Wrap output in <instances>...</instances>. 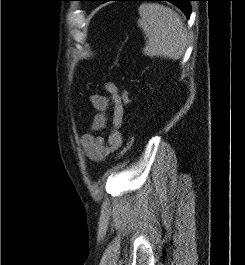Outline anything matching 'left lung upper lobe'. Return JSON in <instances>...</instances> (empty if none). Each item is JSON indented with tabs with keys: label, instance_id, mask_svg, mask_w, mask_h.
<instances>
[{
	"label": "left lung upper lobe",
	"instance_id": "left-lung-upper-lobe-1",
	"mask_svg": "<svg viewBox=\"0 0 245 265\" xmlns=\"http://www.w3.org/2000/svg\"><path fill=\"white\" fill-rule=\"evenodd\" d=\"M88 1H104V0H88Z\"/></svg>",
	"mask_w": 245,
	"mask_h": 265
}]
</instances>
